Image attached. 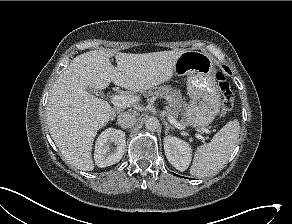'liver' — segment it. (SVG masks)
<instances>
[{
  "label": "liver",
  "mask_w": 292,
  "mask_h": 224,
  "mask_svg": "<svg viewBox=\"0 0 292 224\" xmlns=\"http://www.w3.org/2000/svg\"><path fill=\"white\" fill-rule=\"evenodd\" d=\"M183 50L143 54L108 50L83 53L72 60L54 83L46 115L50 135L63 157L74 167L92 171V145L97 131L112 118V107L86 91L102 90L111 82L133 92H144L168 81Z\"/></svg>",
  "instance_id": "1"
}]
</instances>
